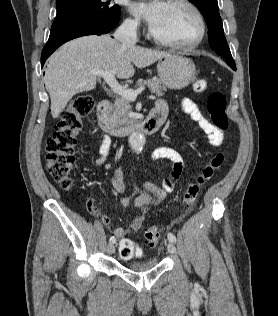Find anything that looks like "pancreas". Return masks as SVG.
Returning <instances> with one entry per match:
<instances>
[{
  "instance_id": "pancreas-1",
  "label": "pancreas",
  "mask_w": 278,
  "mask_h": 316,
  "mask_svg": "<svg viewBox=\"0 0 278 316\" xmlns=\"http://www.w3.org/2000/svg\"><path fill=\"white\" fill-rule=\"evenodd\" d=\"M148 86L151 93L156 94L157 96H163L166 87L161 85V82L158 78L154 77L152 79H139L137 86ZM132 105L131 101L124 97H117L112 109L108 113L109 122L114 127H120L127 125L133 121V118L128 116V113L131 112Z\"/></svg>"
}]
</instances>
